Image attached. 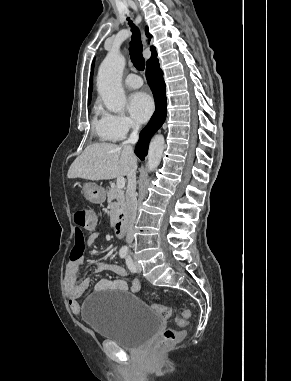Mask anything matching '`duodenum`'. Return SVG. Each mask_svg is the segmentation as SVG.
<instances>
[{
    "label": "duodenum",
    "mask_w": 291,
    "mask_h": 381,
    "mask_svg": "<svg viewBox=\"0 0 291 381\" xmlns=\"http://www.w3.org/2000/svg\"><path fill=\"white\" fill-rule=\"evenodd\" d=\"M127 230V221L125 214H120L115 222V234L118 238L122 239Z\"/></svg>",
    "instance_id": "1"
}]
</instances>
